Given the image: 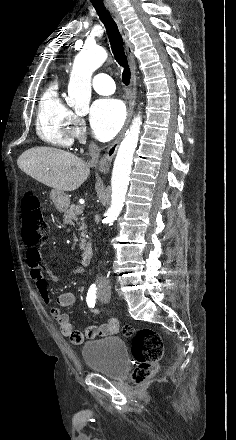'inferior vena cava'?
Returning <instances> with one entry per match:
<instances>
[{
  "mask_svg": "<svg viewBox=\"0 0 236 440\" xmlns=\"http://www.w3.org/2000/svg\"><path fill=\"white\" fill-rule=\"evenodd\" d=\"M89 153L91 156V160L89 162V165L95 166L98 163L99 153L100 149L95 143H91L89 145ZM96 283L98 288H103L109 286V281L106 280L103 276H98L96 279Z\"/></svg>",
  "mask_w": 236,
  "mask_h": 440,
  "instance_id": "inferior-vena-cava-1",
  "label": "inferior vena cava"
}]
</instances>
